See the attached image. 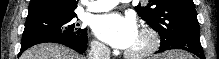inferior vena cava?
Instances as JSON below:
<instances>
[{
	"instance_id": "1",
	"label": "inferior vena cava",
	"mask_w": 219,
	"mask_h": 59,
	"mask_svg": "<svg viewBox=\"0 0 219 59\" xmlns=\"http://www.w3.org/2000/svg\"><path fill=\"white\" fill-rule=\"evenodd\" d=\"M89 59H110V50L104 44H92L89 52Z\"/></svg>"
}]
</instances>
